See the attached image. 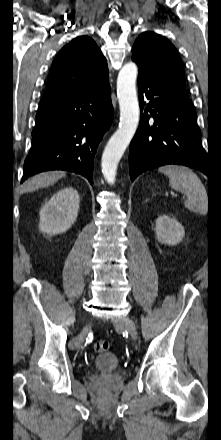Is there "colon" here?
Segmentation results:
<instances>
[{"mask_svg":"<svg viewBox=\"0 0 221 440\" xmlns=\"http://www.w3.org/2000/svg\"><path fill=\"white\" fill-rule=\"evenodd\" d=\"M110 344L107 341H97L93 344V349L96 352H105L109 349Z\"/></svg>","mask_w":221,"mask_h":440,"instance_id":"1","label":"colon"}]
</instances>
